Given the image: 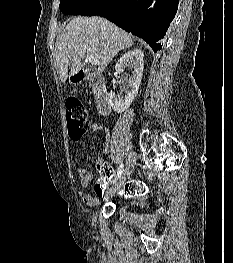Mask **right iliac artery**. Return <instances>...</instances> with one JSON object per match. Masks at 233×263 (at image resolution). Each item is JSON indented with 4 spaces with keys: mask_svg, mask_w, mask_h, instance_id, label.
Wrapping results in <instances>:
<instances>
[{
    "mask_svg": "<svg viewBox=\"0 0 233 263\" xmlns=\"http://www.w3.org/2000/svg\"><path fill=\"white\" fill-rule=\"evenodd\" d=\"M123 170H124V165H123V163H121L118 167L117 176H116L115 180H113V183L116 182V180L121 177Z\"/></svg>",
    "mask_w": 233,
    "mask_h": 263,
    "instance_id": "1",
    "label": "right iliac artery"
}]
</instances>
